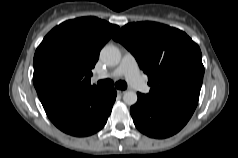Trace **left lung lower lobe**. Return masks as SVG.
<instances>
[{
    "label": "left lung lower lobe",
    "mask_w": 238,
    "mask_h": 158,
    "mask_svg": "<svg viewBox=\"0 0 238 158\" xmlns=\"http://www.w3.org/2000/svg\"><path fill=\"white\" fill-rule=\"evenodd\" d=\"M197 90L153 96L137 93L130 108L134 124L149 137L166 138L180 131L191 118L199 100Z\"/></svg>",
    "instance_id": "0a47b994"
}]
</instances>
